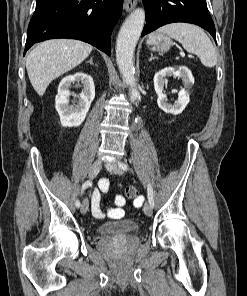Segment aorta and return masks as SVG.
<instances>
[{"label":"aorta","instance_id":"aorta-1","mask_svg":"<svg viewBox=\"0 0 247 296\" xmlns=\"http://www.w3.org/2000/svg\"><path fill=\"white\" fill-rule=\"evenodd\" d=\"M145 23V11L135 9L124 21L116 41V61L124 81L130 86V99H140L134 66V50Z\"/></svg>","mask_w":247,"mask_h":296}]
</instances>
